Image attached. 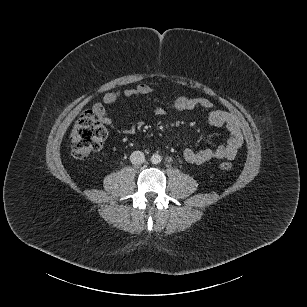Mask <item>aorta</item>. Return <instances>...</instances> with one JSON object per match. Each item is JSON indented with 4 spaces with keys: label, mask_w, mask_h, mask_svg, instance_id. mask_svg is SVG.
Instances as JSON below:
<instances>
[{
    "label": "aorta",
    "mask_w": 307,
    "mask_h": 307,
    "mask_svg": "<svg viewBox=\"0 0 307 307\" xmlns=\"http://www.w3.org/2000/svg\"><path fill=\"white\" fill-rule=\"evenodd\" d=\"M150 160H151L152 164L158 165V164L161 163L162 158H161V156L159 154H153L151 156Z\"/></svg>",
    "instance_id": "aorta-1"
}]
</instances>
